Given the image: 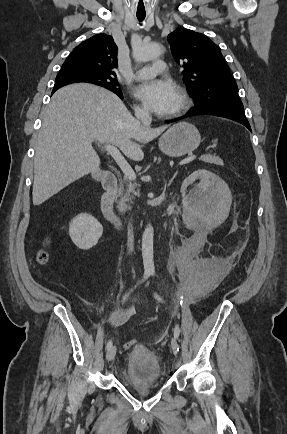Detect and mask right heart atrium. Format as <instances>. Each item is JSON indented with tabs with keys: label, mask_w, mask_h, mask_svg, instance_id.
<instances>
[{
	"label": "right heart atrium",
	"mask_w": 287,
	"mask_h": 434,
	"mask_svg": "<svg viewBox=\"0 0 287 434\" xmlns=\"http://www.w3.org/2000/svg\"><path fill=\"white\" fill-rule=\"evenodd\" d=\"M136 111L140 114H145L147 112V109L142 105H138L136 106Z\"/></svg>",
	"instance_id": "1"
}]
</instances>
